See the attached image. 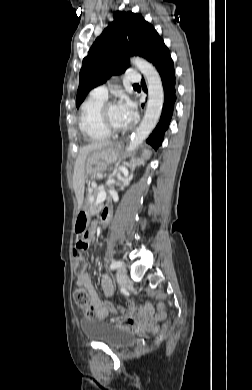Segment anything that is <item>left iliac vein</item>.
Masks as SVG:
<instances>
[{
	"mask_svg": "<svg viewBox=\"0 0 252 390\" xmlns=\"http://www.w3.org/2000/svg\"><path fill=\"white\" fill-rule=\"evenodd\" d=\"M117 281L121 284V285H128L129 283V277L128 275L126 274V271L124 268H119L117 270Z\"/></svg>",
	"mask_w": 252,
	"mask_h": 390,
	"instance_id": "left-iliac-vein-1",
	"label": "left iliac vein"
}]
</instances>
